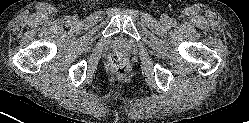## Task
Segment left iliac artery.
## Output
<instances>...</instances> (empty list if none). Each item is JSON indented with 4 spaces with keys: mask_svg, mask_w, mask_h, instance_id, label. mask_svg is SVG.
<instances>
[{
    "mask_svg": "<svg viewBox=\"0 0 249 123\" xmlns=\"http://www.w3.org/2000/svg\"><path fill=\"white\" fill-rule=\"evenodd\" d=\"M170 24L173 25V26L176 25V20L175 19H171L170 20Z\"/></svg>",
    "mask_w": 249,
    "mask_h": 123,
    "instance_id": "obj_1",
    "label": "left iliac artery"
}]
</instances>
